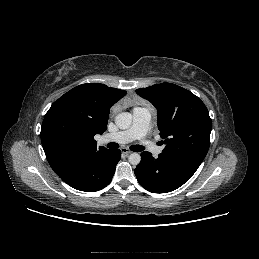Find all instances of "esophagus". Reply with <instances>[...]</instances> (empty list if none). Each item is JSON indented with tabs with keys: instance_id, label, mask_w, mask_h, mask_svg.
<instances>
[{
	"instance_id": "1",
	"label": "esophagus",
	"mask_w": 259,
	"mask_h": 259,
	"mask_svg": "<svg viewBox=\"0 0 259 259\" xmlns=\"http://www.w3.org/2000/svg\"><path fill=\"white\" fill-rule=\"evenodd\" d=\"M121 152H122L123 154H125V155H129V154L132 153V151L129 150V149H127V148H122V149H121Z\"/></svg>"
}]
</instances>
